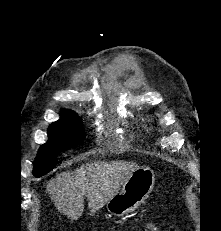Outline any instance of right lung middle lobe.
<instances>
[{
  "label": "right lung middle lobe",
  "instance_id": "right-lung-middle-lobe-1",
  "mask_svg": "<svg viewBox=\"0 0 221 231\" xmlns=\"http://www.w3.org/2000/svg\"><path fill=\"white\" fill-rule=\"evenodd\" d=\"M85 136L81 121L77 118H63L52 123L48 128L47 143L43 144L35 159L34 173L44 175L56 163L57 155L80 144Z\"/></svg>",
  "mask_w": 221,
  "mask_h": 231
}]
</instances>
